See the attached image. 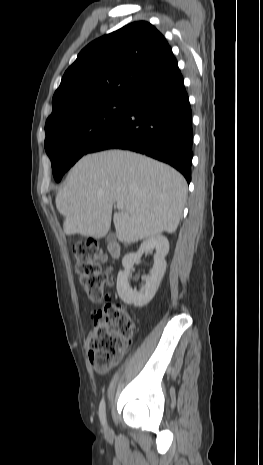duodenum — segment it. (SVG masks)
I'll use <instances>...</instances> for the list:
<instances>
[{
	"label": "duodenum",
	"mask_w": 263,
	"mask_h": 465,
	"mask_svg": "<svg viewBox=\"0 0 263 465\" xmlns=\"http://www.w3.org/2000/svg\"><path fill=\"white\" fill-rule=\"evenodd\" d=\"M109 252L113 258H118L120 255V247L116 243H111L108 247Z\"/></svg>",
	"instance_id": "410a0bca"
}]
</instances>
